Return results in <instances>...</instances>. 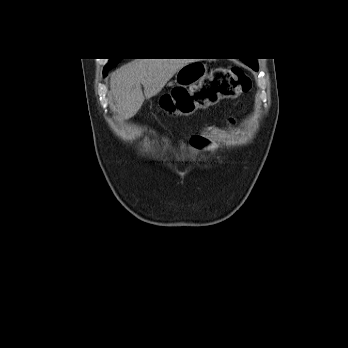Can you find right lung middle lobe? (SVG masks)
I'll return each mask as SVG.
<instances>
[{"mask_svg": "<svg viewBox=\"0 0 348 348\" xmlns=\"http://www.w3.org/2000/svg\"><path fill=\"white\" fill-rule=\"evenodd\" d=\"M121 59H110L109 63L104 67V70L109 71L111 68L115 67Z\"/></svg>", "mask_w": 348, "mask_h": 348, "instance_id": "1", "label": "right lung middle lobe"}]
</instances>
